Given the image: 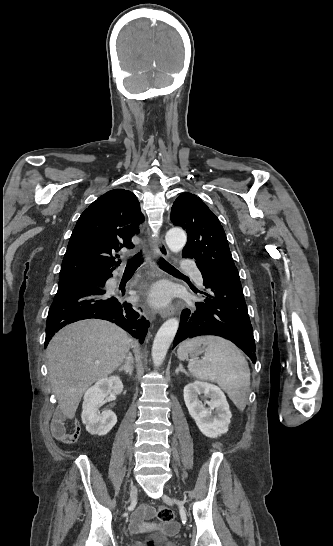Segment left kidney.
<instances>
[{"instance_id": "5707ae66", "label": "left kidney", "mask_w": 333, "mask_h": 546, "mask_svg": "<svg viewBox=\"0 0 333 546\" xmlns=\"http://www.w3.org/2000/svg\"><path fill=\"white\" fill-rule=\"evenodd\" d=\"M206 400L208 408L199 400ZM184 401L199 430L207 437L216 438L228 431L231 412L223 391L213 384L195 381L184 388Z\"/></svg>"}]
</instances>
